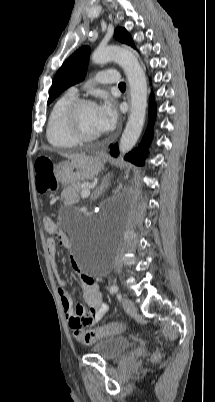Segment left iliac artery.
Returning a JSON list of instances; mask_svg holds the SVG:
<instances>
[{
    "label": "left iliac artery",
    "mask_w": 215,
    "mask_h": 402,
    "mask_svg": "<svg viewBox=\"0 0 215 402\" xmlns=\"http://www.w3.org/2000/svg\"><path fill=\"white\" fill-rule=\"evenodd\" d=\"M110 292H111V293H117V292H118V286H117V285L111 286ZM117 297H118V299H121V298H122V296H121L120 293L117 294Z\"/></svg>",
    "instance_id": "1"
}]
</instances>
